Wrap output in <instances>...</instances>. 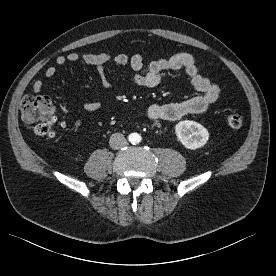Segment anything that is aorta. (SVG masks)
<instances>
[{"label":"aorta","mask_w":276,"mask_h":276,"mask_svg":"<svg viewBox=\"0 0 276 276\" xmlns=\"http://www.w3.org/2000/svg\"><path fill=\"white\" fill-rule=\"evenodd\" d=\"M138 137H139V136H138L137 134H134V135L132 136V141H133V142L137 141Z\"/></svg>","instance_id":"aorta-1"}]
</instances>
